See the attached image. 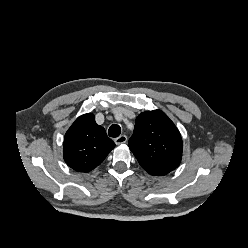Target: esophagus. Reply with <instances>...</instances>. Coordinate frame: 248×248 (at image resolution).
<instances>
[{
	"label": "esophagus",
	"mask_w": 248,
	"mask_h": 248,
	"mask_svg": "<svg viewBox=\"0 0 248 248\" xmlns=\"http://www.w3.org/2000/svg\"><path fill=\"white\" fill-rule=\"evenodd\" d=\"M114 142L117 144V145H120V144H124L127 142V136L126 135H121L117 138L114 139Z\"/></svg>",
	"instance_id": "esophagus-1"
}]
</instances>
